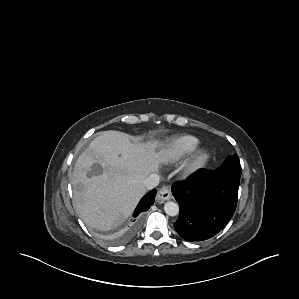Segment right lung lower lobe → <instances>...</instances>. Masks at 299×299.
<instances>
[{
    "mask_svg": "<svg viewBox=\"0 0 299 299\" xmlns=\"http://www.w3.org/2000/svg\"><path fill=\"white\" fill-rule=\"evenodd\" d=\"M155 195H156V189H153L152 191H150L148 194H146L139 202V204L137 205L136 209H135V214L134 217L136 218L140 213L142 214L143 212H146L154 203L155 200ZM139 218H136L135 220H137ZM133 220V222L135 221ZM137 223H133L131 224L130 228L128 229V235H131L136 227Z\"/></svg>",
    "mask_w": 299,
    "mask_h": 299,
    "instance_id": "98d812e1",
    "label": "right lung lower lobe"
}]
</instances>
